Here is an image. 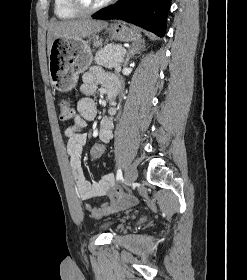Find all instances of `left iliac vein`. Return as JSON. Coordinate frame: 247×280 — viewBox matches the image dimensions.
I'll use <instances>...</instances> for the list:
<instances>
[{
	"label": "left iliac vein",
	"instance_id": "left-iliac-vein-1",
	"mask_svg": "<svg viewBox=\"0 0 247 280\" xmlns=\"http://www.w3.org/2000/svg\"><path fill=\"white\" fill-rule=\"evenodd\" d=\"M138 177V171L135 165H130L125 171V180L128 184L134 183Z\"/></svg>",
	"mask_w": 247,
	"mask_h": 280
}]
</instances>
